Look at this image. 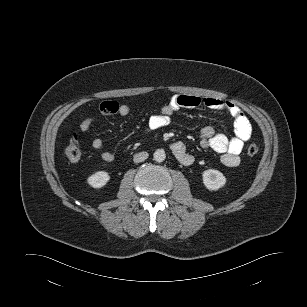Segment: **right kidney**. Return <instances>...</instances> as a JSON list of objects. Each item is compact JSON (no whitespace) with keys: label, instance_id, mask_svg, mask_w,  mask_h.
I'll return each mask as SVG.
<instances>
[{"label":"right kidney","instance_id":"right-kidney-1","mask_svg":"<svg viewBox=\"0 0 307 307\" xmlns=\"http://www.w3.org/2000/svg\"><path fill=\"white\" fill-rule=\"evenodd\" d=\"M110 180V176L105 171H98L88 177L87 182L93 188H101Z\"/></svg>","mask_w":307,"mask_h":307}]
</instances>
